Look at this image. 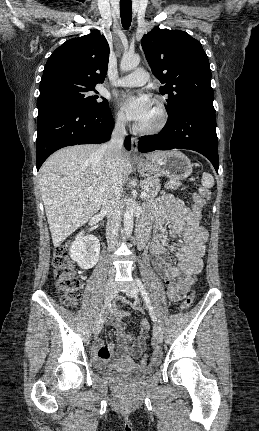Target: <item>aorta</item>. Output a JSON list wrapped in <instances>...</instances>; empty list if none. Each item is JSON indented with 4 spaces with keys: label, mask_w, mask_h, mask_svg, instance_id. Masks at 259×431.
I'll return each mask as SVG.
<instances>
[{
    "label": "aorta",
    "mask_w": 259,
    "mask_h": 431,
    "mask_svg": "<svg viewBox=\"0 0 259 431\" xmlns=\"http://www.w3.org/2000/svg\"><path fill=\"white\" fill-rule=\"evenodd\" d=\"M140 63L139 55L124 54L121 60L120 69L123 72L131 71L136 68ZM134 210L132 203L128 204L124 213V230L129 237L133 231Z\"/></svg>",
    "instance_id": "aorta-1"
}]
</instances>
